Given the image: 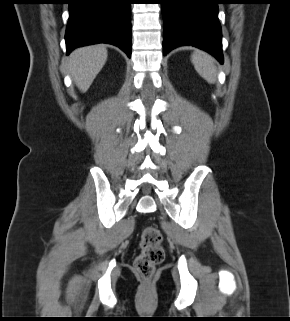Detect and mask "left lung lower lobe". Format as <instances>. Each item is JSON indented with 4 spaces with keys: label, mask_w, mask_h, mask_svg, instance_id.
<instances>
[{
    "label": "left lung lower lobe",
    "mask_w": 290,
    "mask_h": 321,
    "mask_svg": "<svg viewBox=\"0 0 290 321\" xmlns=\"http://www.w3.org/2000/svg\"><path fill=\"white\" fill-rule=\"evenodd\" d=\"M221 0H162L163 53L192 45L223 64L218 4Z\"/></svg>",
    "instance_id": "left-lung-lower-lobe-1"
}]
</instances>
